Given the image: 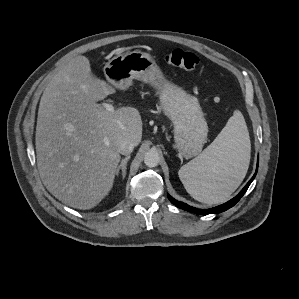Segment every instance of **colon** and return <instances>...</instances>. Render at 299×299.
<instances>
[{"label": "colon", "instance_id": "obj_1", "mask_svg": "<svg viewBox=\"0 0 299 299\" xmlns=\"http://www.w3.org/2000/svg\"><path fill=\"white\" fill-rule=\"evenodd\" d=\"M165 61L175 67L193 70L199 64V58L192 52L174 49L166 54Z\"/></svg>", "mask_w": 299, "mask_h": 299}]
</instances>
